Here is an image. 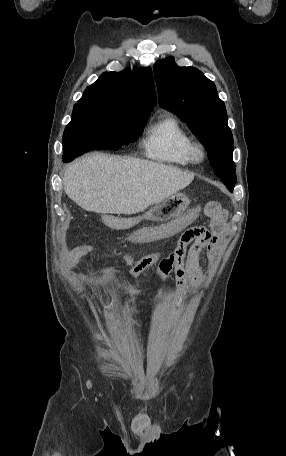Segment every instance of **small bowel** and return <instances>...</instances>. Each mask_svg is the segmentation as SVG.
<instances>
[{
  "label": "small bowel",
  "instance_id": "c3829d8e",
  "mask_svg": "<svg viewBox=\"0 0 286 456\" xmlns=\"http://www.w3.org/2000/svg\"><path fill=\"white\" fill-rule=\"evenodd\" d=\"M200 211L199 207L192 208L168 223L143 227L129 237L133 242H150L181 233L176 248L166 257H161L159 253H152L134 260L132 256L124 255V260L131 267L132 279H137L146 269L158 264V272L153 283L157 301L161 299L163 282L172 272L181 296L185 299L190 298L188 283L197 287L204 283V276L199 266L201 253L206 250L211 261L217 257L221 235L226 225V214L219 208L210 212L209 226H191ZM93 251L94 246L90 243L75 246L67 256V267L75 266L81 258Z\"/></svg>",
  "mask_w": 286,
  "mask_h": 456
}]
</instances>
